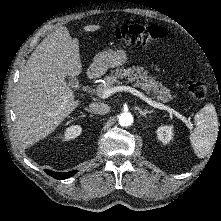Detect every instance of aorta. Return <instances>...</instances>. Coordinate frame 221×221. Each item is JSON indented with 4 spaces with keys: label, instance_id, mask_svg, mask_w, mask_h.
Masks as SVG:
<instances>
[{
    "label": "aorta",
    "instance_id": "aorta-1",
    "mask_svg": "<svg viewBox=\"0 0 221 221\" xmlns=\"http://www.w3.org/2000/svg\"><path fill=\"white\" fill-rule=\"evenodd\" d=\"M133 123V116L129 112H123L119 116V124L123 127H128Z\"/></svg>",
    "mask_w": 221,
    "mask_h": 221
}]
</instances>
